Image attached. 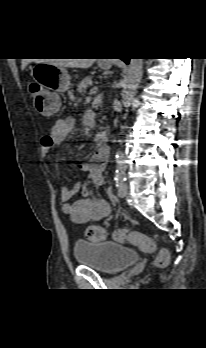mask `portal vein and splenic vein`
<instances>
[{
  "instance_id": "18ae733b",
  "label": "portal vein and splenic vein",
  "mask_w": 206,
  "mask_h": 348,
  "mask_svg": "<svg viewBox=\"0 0 206 348\" xmlns=\"http://www.w3.org/2000/svg\"><path fill=\"white\" fill-rule=\"evenodd\" d=\"M98 92V87H93L91 90H90V94H95Z\"/></svg>"
}]
</instances>
